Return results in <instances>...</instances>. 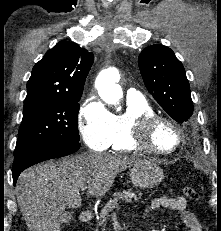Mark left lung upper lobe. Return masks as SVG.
Here are the masks:
<instances>
[{
	"mask_svg": "<svg viewBox=\"0 0 221 231\" xmlns=\"http://www.w3.org/2000/svg\"><path fill=\"white\" fill-rule=\"evenodd\" d=\"M144 83L158 104L178 123L193 114L190 85L182 63L163 45H152L139 55Z\"/></svg>",
	"mask_w": 221,
	"mask_h": 231,
	"instance_id": "1",
	"label": "left lung upper lobe"
}]
</instances>
